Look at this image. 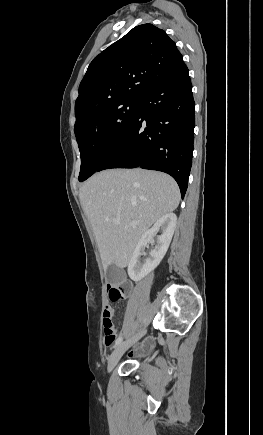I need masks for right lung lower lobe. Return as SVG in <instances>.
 <instances>
[{"instance_id":"right-lung-lower-lobe-1","label":"right lung lower lobe","mask_w":263,"mask_h":435,"mask_svg":"<svg viewBox=\"0 0 263 435\" xmlns=\"http://www.w3.org/2000/svg\"><path fill=\"white\" fill-rule=\"evenodd\" d=\"M195 103L183 64L141 99L133 124L97 171L110 168L158 170L171 175L185 195L192 165Z\"/></svg>"}]
</instances>
